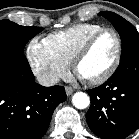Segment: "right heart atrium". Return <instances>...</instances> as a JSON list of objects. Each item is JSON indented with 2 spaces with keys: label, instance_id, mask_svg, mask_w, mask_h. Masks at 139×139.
Here are the masks:
<instances>
[{
  "label": "right heart atrium",
  "instance_id": "obj_1",
  "mask_svg": "<svg viewBox=\"0 0 139 139\" xmlns=\"http://www.w3.org/2000/svg\"><path fill=\"white\" fill-rule=\"evenodd\" d=\"M26 56L34 74L45 85H53L67 74L68 63L54 53L45 40H31Z\"/></svg>",
  "mask_w": 139,
  "mask_h": 139
}]
</instances>
